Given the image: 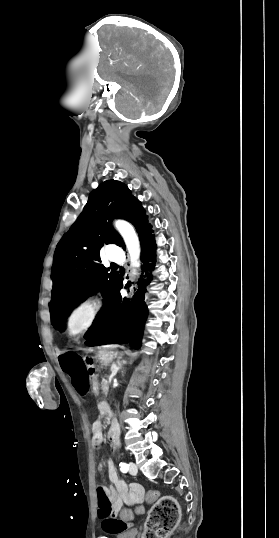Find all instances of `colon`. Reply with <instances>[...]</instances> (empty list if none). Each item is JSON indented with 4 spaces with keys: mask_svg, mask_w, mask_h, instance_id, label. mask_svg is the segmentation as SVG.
I'll use <instances>...</instances> for the list:
<instances>
[{
    "mask_svg": "<svg viewBox=\"0 0 279 538\" xmlns=\"http://www.w3.org/2000/svg\"><path fill=\"white\" fill-rule=\"evenodd\" d=\"M97 498L99 515L101 517L111 516L113 514L112 504L107 489L103 485L97 486ZM146 500L153 504V508L146 523L144 538H167L179 521L180 507L178 502L170 496L159 499L157 491H149ZM137 512H142V507H138ZM123 518L129 519L130 512L125 511Z\"/></svg>",
    "mask_w": 279,
    "mask_h": 538,
    "instance_id": "colon-1",
    "label": "colon"
}]
</instances>
